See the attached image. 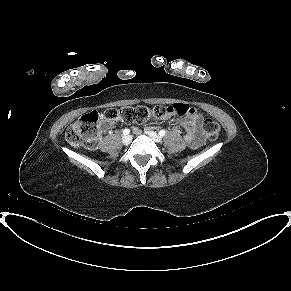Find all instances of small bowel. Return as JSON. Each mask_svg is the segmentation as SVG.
Returning a JSON list of instances; mask_svg holds the SVG:
<instances>
[{
    "label": "small bowel",
    "mask_w": 291,
    "mask_h": 291,
    "mask_svg": "<svg viewBox=\"0 0 291 291\" xmlns=\"http://www.w3.org/2000/svg\"><path fill=\"white\" fill-rule=\"evenodd\" d=\"M175 125L184 128L185 133L183 138L189 148L196 149L203 144L204 134L201 130L202 116L194 108L190 107L189 111L184 114V117L175 122ZM133 131L136 134L140 133L138 128H134Z\"/></svg>",
    "instance_id": "c3829d8e"
}]
</instances>
